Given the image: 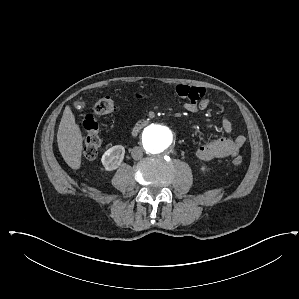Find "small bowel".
I'll return each mask as SVG.
<instances>
[{"instance_id":"small-bowel-1","label":"small bowel","mask_w":299,"mask_h":299,"mask_svg":"<svg viewBox=\"0 0 299 299\" xmlns=\"http://www.w3.org/2000/svg\"><path fill=\"white\" fill-rule=\"evenodd\" d=\"M176 94L182 99L181 106L188 112H198L209 108L211 99L206 92L200 88H192L185 84L176 87ZM222 130L229 135L233 131L231 120L224 117L221 121ZM246 142L244 135H238L235 138L221 137L211 139L196 151V156L204 161L221 159L236 155Z\"/></svg>"}]
</instances>
